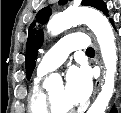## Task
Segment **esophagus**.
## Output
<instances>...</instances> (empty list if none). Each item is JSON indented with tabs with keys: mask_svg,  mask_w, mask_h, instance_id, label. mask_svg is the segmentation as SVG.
<instances>
[{
	"mask_svg": "<svg viewBox=\"0 0 121 113\" xmlns=\"http://www.w3.org/2000/svg\"><path fill=\"white\" fill-rule=\"evenodd\" d=\"M97 55H98V62H99V65H100L101 70H102V73H103L102 59H101L100 54H99L98 51H97ZM101 78H102V77H100V78L96 81V83H95L94 97L96 96V94H97L98 91H99V87H100V84H101Z\"/></svg>",
	"mask_w": 121,
	"mask_h": 113,
	"instance_id": "1",
	"label": "esophagus"
}]
</instances>
